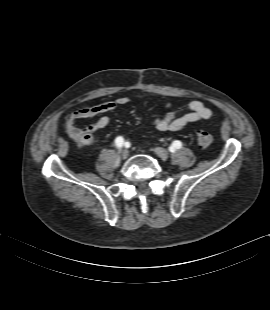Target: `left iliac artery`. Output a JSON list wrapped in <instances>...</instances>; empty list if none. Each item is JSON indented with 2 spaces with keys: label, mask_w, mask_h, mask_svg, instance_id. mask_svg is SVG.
<instances>
[{
  "label": "left iliac artery",
  "mask_w": 270,
  "mask_h": 310,
  "mask_svg": "<svg viewBox=\"0 0 270 310\" xmlns=\"http://www.w3.org/2000/svg\"><path fill=\"white\" fill-rule=\"evenodd\" d=\"M181 147H182V143L176 140L172 143V146L170 147V151L174 152L175 149H180Z\"/></svg>",
  "instance_id": "44dca946"
}]
</instances>
